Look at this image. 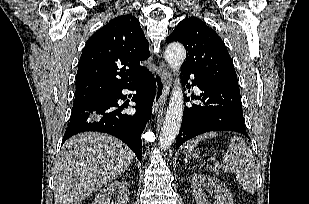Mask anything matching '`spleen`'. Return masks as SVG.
Masks as SVG:
<instances>
[{"label":"spleen","instance_id":"obj_1","mask_svg":"<svg viewBox=\"0 0 309 204\" xmlns=\"http://www.w3.org/2000/svg\"><path fill=\"white\" fill-rule=\"evenodd\" d=\"M216 136V132H208L189 141L186 145L187 156H192V150L200 141ZM223 162L236 170V179L247 192L255 193L258 174L255 159L242 138L233 137L231 139L230 146L223 156Z\"/></svg>","mask_w":309,"mask_h":204}]
</instances>
